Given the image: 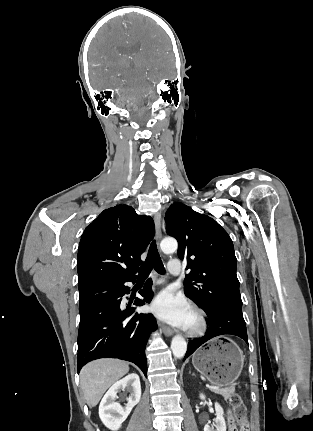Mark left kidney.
I'll return each instance as SVG.
<instances>
[{"label":"left kidney","mask_w":313,"mask_h":431,"mask_svg":"<svg viewBox=\"0 0 313 431\" xmlns=\"http://www.w3.org/2000/svg\"><path fill=\"white\" fill-rule=\"evenodd\" d=\"M200 398L204 400L205 396L203 394H200ZM215 411H216L215 423H213V425L211 426L205 425L204 431H226V423L223 416L224 411H223V408L220 406V404L215 403Z\"/></svg>","instance_id":"1"}]
</instances>
